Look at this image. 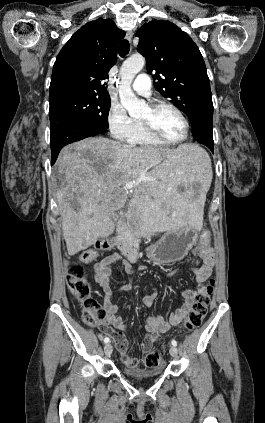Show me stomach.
I'll return each mask as SVG.
<instances>
[{
	"mask_svg": "<svg viewBox=\"0 0 265 423\" xmlns=\"http://www.w3.org/2000/svg\"><path fill=\"white\" fill-rule=\"evenodd\" d=\"M197 238V229L190 224L178 230H168L159 241L149 246L147 256L161 264L181 260L196 243Z\"/></svg>",
	"mask_w": 265,
	"mask_h": 423,
	"instance_id": "1",
	"label": "stomach"
}]
</instances>
